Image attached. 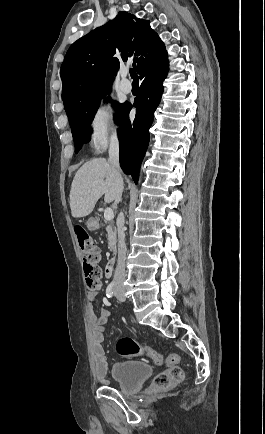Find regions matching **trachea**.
Returning a JSON list of instances; mask_svg holds the SVG:
<instances>
[{
	"mask_svg": "<svg viewBox=\"0 0 265 434\" xmlns=\"http://www.w3.org/2000/svg\"><path fill=\"white\" fill-rule=\"evenodd\" d=\"M130 75H131V78H133V82H132L133 84L134 83H139V78L136 75V72H135L134 69H130Z\"/></svg>",
	"mask_w": 265,
	"mask_h": 434,
	"instance_id": "trachea-1",
	"label": "trachea"
}]
</instances>
